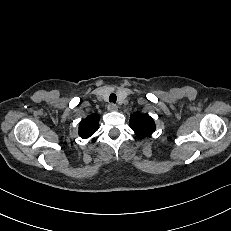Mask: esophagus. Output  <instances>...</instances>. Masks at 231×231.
<instances>
[{
	"mask_svg": "<svg viewBox=\"0 0 231 231\" xmlns=\"http://www.w3.org/2000/svg\"><path fill=\"white\" fill-rule=\"evenodd\" d=\"M108 110L109 111H112V112H114V111H117L118 110V106L116 105V104H110L109 106H108Z\"/></svg>",
	"mask_w": 231,
	"mask_h": 231,
	"instance_id": "34e87169",
	"label": "esophagus"
}]
</instances>
